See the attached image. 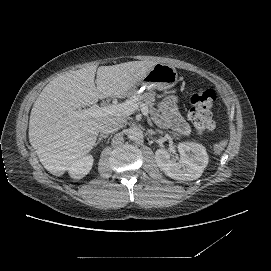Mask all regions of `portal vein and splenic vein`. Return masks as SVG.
Wrapping results in <instances>:
<instances>
[{
	"label": "portal vein and splenic vein",
	"instance_id": "portal-vein-and-splenic-vein-1",
	"mask_svg": "<svg viewBox=\"0 0 271 271\" xmlns=\"http://www.w3.org/2000/svg\"><path fill=\"white\" fill-rule=\"evenodd\" d=\"M140 107L142 114L145 116L148 115V106H146L145 104H141ZM137 109L138 104L135 102V100H132L117 105H109L106 107H99L98 105H93L88 109L73 111L72 115L81 119L88 116L101 117L108 114L113 116H129L133 114V112Z\"/></svg>",
	"mask_w": 271,
	"mask_h": 271
}]
</instances>
